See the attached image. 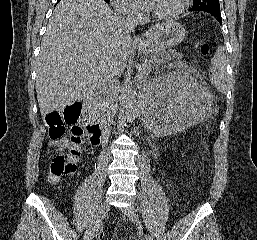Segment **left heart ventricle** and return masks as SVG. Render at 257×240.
<instances>
[{"label":"left heart ventricle","mask_w":257,"mask_h":240,"mask_svg":"<svg viewBox=\"0 0 257 240\" xmlns=\"http://www.w3.org/2000/svg\"><path fill=\"white\" fill-rule=\"evenodd\" d=\"M179 1L180 0H152L150 9L158 14H166L177 8Z\"/></svg>","instance_id":"b2bd125f"}]
</instances>
